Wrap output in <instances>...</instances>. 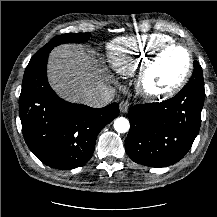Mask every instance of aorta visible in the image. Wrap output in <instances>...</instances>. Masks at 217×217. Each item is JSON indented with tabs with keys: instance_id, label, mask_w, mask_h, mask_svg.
<instances>
[{
	"instance_id": "762f6f07",
	"label": "aorta",
	"mask_w": 217,
	"mask_h": 217,
	"mask_svg": "<svg viewBox=\"0 0 217 217\" xmlns=\"http://www.w3.org/2000/svg\"><path fill=\"white\" fill-rule=\"evenodd\" d=\"M130 128L129 121L124 117H119L114 121V129L118 133H126Z\"/></svg>"
}]
</instances>
